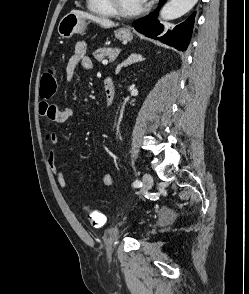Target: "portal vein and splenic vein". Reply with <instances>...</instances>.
<instances>
[{"instance_id":"1","label":"portal vein and splenic vein","mask_w":249,"mask_h":294,"mask_svg":"<svg viewBox=\"0 0 249 294\" xmlns=\"http://www.w3.org/2000/svg\"><path fill=\"white\" fill-rule=\"evenodd\" d=\"M113 57H114V56H113ZM102 64H103V65H107V64H108V60H106V59L103 60V61H102Z\"/></svg>"}]
</instances>
